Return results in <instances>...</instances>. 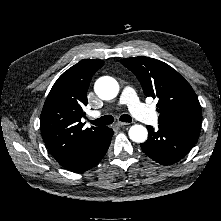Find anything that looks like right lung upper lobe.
Returning <instances> with one entry per match:
<instances>
[{
    "label": "right lung upper lobe",
    "instance_id": "right-lung-upper-lobe-1",
    "mask_svg": "<svg viewBox=\"0 0 221 221\" xmlns=\"http://www.w3.org/2000/svg\"><path fill=\"white\" fill-rule=\"evenodd\" d=\"M103 65L102 60H81L57 79L46 98L40 116L41 133L58 162L88 144L104 128L84 129L81 122L90 81Z\"/></svg>",
    "mask_w": 221,
    "mask_h": 221
}]
</instances>
